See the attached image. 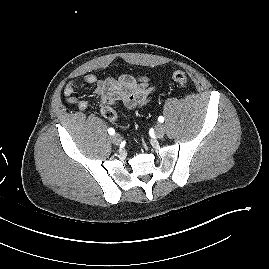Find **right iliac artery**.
Instances as JSON below:
<instances>
[{
    "instance_id": "1",
    "label": "right iliac artery",
    "mask_w": 269,
    "mask_h": 269,
    "mask_svg": "<svg viewBox=\"0 0 269 269\" xmlns=\"http://www.w3.org/2000/svg\"><path fill=\"white\" fill-rule=\"evenodd\" d=\"M108 133H109L110 135H114L115 131H114L113 128H109V129H108Z\"/></svg>"
}]
</instances>
